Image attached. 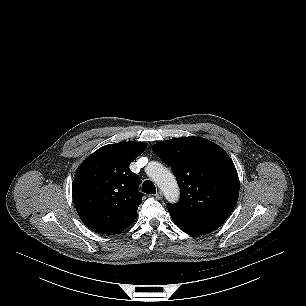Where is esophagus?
Listing matches in <instances>:
<instances>
[{
    "mask_svg": "<svg viewBox=\"0 0 306 306\" xmlns=\"http://www.w3.org/2000/svg\"><path fill=\"white\" fill-rule=\"evenodd\" d=\"M162 197H163L162 191L159 190V191L156 193L155 198L158 199V200H160Z\"/></svg>",
    "mask_w": 306,
    "mask_h": 306,
    "instance_id": "obj_1",
    "label": "esophagus"
}]
</instances>
